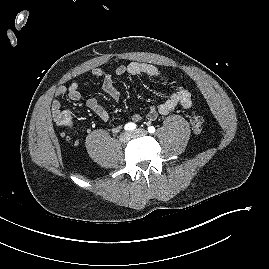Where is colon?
<instances>
[{"label": "colon", "instance_id": "1", "mask_svg": "<svg viewBox=\"0 0 269 269\" xmlns=\"http://www.w3.org/2000/svg\"><path fill=\"white\" fill-rule=\"evenodd\" d=\"M64 121H68V118L65 116ZM191 128L195 133H200L203 129L204 120L203 117L199 114H192L190 117Z\"/></svg>", "mask_w": 269, "mask_h": 269}]
</instances>
